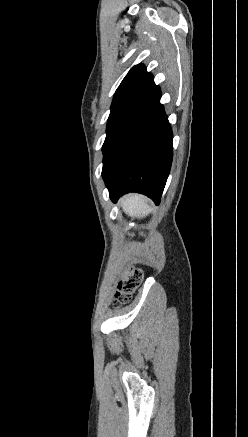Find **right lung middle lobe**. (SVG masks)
<instances>
[{
    "mask_svg": "<svg viewBox=\"0 0 248 437\" xmlns=\"http://www.w3.org/2000/svg\"><path fill=\"white\" fill-rule=\"evenodd\" d=\"M138 96L139 94L134 93L113 100L111 105V112L107 123V135L102 147L103 153L107 148V146L109 145V143L111 142L114 135L116 134V132L121 127L125 116L133 106Z\"/></svg>",
    "mask_w": 248,
    "mask_h": 437,
    "instance_id": "right-lung-middle-lobe-1",
    "label": "right lung middle lobe"
}]
</instances>
